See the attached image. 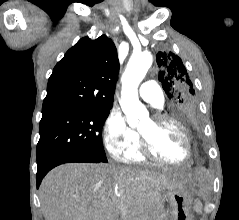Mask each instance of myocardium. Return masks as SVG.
Segmentation results:
<instances>
[{
	"label": "myocardium",
	"mask_w": 239,
	"mask_h": 220,
	"mask_svg": "<svg viewBox=\"0 0 239 220\" xmlns=\"http://www.w3.org/2000/svg\"><path fill=\"white\" fill-rule=\"evenodd\" d=\"M151 120L156 124V125H161V124H173L176 127H178L184 137L185 140V144H186V155L182 160L179 161H171V160H167L161 156H159L152 144L150 143V141L140 132V136H141V141H140V150L142 152V154L153 161L162 163V164H166V165H171V166H179L182 165L184 163H186L192 155V145H191V139L188 133V130L186 128V126L180 122L179 120H177L176 118L167 115V114H162V113H157L154 114L151 117Z\"/></svg>",
	"instance_id": "myocardium-1"
}]
</instances>
